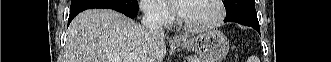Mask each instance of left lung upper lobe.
Here are the masks:
<instances>
[{"mask_svg": "<svg viewBox=\"0 0 331 62\" xmlns=\"http://www.w3.org/2000/svg\"><path fill=\"white\" fill-rule=\"evenodd\" d=\"M227 15L226 19L239 17L257 19L254 0H224Z\"/></svg>", "mask_w": 331, "mask_h": 62, "instance_id": "5c2ea615", "label": "left lung upper lobe"}]
</instances>
